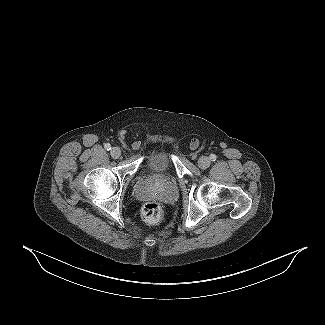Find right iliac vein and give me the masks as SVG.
<instances>
[{
	"mask_svg": "<svg viewBox=\"0 0 325 325\" xmlns=\"http://www.w3.org/2000/svg\"><path fill=\"white\" fill-rule=\"evenodd\" d=\"M110 154L113 158L118 159L121 156V150L118 147H113Z\"/></svg>",
	"mask_w": 325,
	"mask_h": 325,
	"instance_id": "1",
	"label": "right iliac vein"
}]
</instances>
